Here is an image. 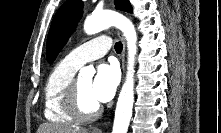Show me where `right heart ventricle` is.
Instances as JSON below:
<instances>
[{"mask_svg": "<svg viewBox=\"0 0 221 133\" xmlns=\"http://www.w3.org/2000/svg\"><path fill=\"white\" fill-rule=\"evenodd\" d=\"M78 68L64 59L49 73L44 87V116L48 121L57 124L74 122L65 109L64 96Z\"/></svg>", "mask_w": 221, "mask_h": 133, "instance_id": "e07e8e85", "label": "right heart ventricle"}]
</instances>
